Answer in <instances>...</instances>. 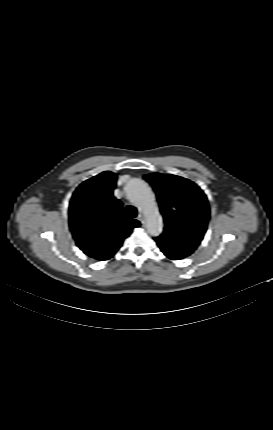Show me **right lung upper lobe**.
Returning a JSON list of instances; mask_svg holds the SVG:
<instances>
[{
    "label": "right lung upper lobe",
    "mask_w": 273,
    "mask_h": 430,
    "mask_svg": "<svg viewBox=\"0 0 273 430\" xmlns=\"http://www.w3.org/2000/svg\"><path fill=\"white\" fill-rule=\"evenodd\" d=\"M117 174L105 171L84 181L73 193L69 225L77 246L97 260L111 258L137 220L123 218V205L113 196Z\"/></svg>",
    "instance_id": "1"
}]
</instances>
